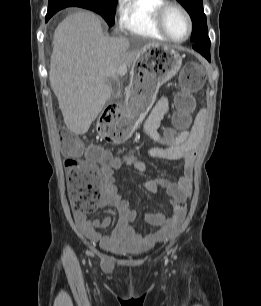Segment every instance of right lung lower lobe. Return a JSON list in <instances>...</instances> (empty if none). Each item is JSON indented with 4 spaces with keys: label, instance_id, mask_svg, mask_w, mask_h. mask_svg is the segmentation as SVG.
I'll use <instances>...</instances> for the list:
<instances>
[{
    "label": "right lung lower lobe",
    "instance_id": "98d812e1",
    "mask_svg": "<svg viewBox=\"0 0 261 306\" xmlns=\"http://www.w3.org/2000/svg\"><path fill=\"white\" fill-rule=\"evenodd\" d=\"M52 16H53V15L47 14V15H46V22H47Z\"/></svg>",
    "mask_w": 261,
    "mask_h": 306
}]
</instances>
